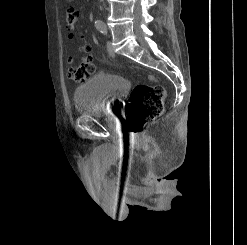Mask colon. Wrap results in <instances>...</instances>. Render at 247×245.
I'll list each match as a JSON object with an SVG mask.
<instances>
[{
	"mask_svg": "<svg viewBox=\"0 0 247 245\" xmlns=\"http://www.w3.org/2000/svg\"><path fill=\"white\" fill-rule=\"evenodd\" d=\"M84 54L79 66H69L67 75L76 83L84 82L95 72V65L92 63V49L84 43L81 48ZM72 63V60H69ZM166 92L162 85H136L129 97L126 107V126L132 133H139L151 120L157 118L163 111Z\"/></svg>",
	"mask_w": 247,
	"mask_h": 245,
	"instance_id": "colon-1",
	"label": "colon"
}]
</instances>
